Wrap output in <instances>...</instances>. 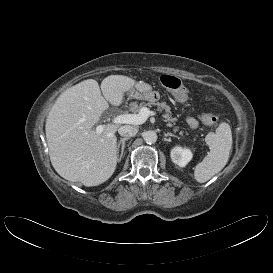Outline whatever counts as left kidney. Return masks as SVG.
Segmentation results:
<instances>
[{
  "label": "left kidney",
  "mask_w": 273,
  "mask_h": 273,
  "mask_svg": "<svg viewBox=\"0 0 273 273\" xmlns=\"http://www.w3.org/2000/svg\"><path fill=\"white\" fill-rule=\"evenodd\" d=\"M171 159L173 163L180 167H185L192 159V152L188 148L174 147L171 151Z\"/></svg>",
  "instance_id": "5707ae66"
}]
</instances>
